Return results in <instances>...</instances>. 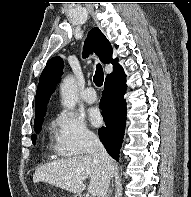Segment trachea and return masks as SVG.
<instances>
[{
	"instance_id": "obj_1",
	"label": "trachea",
	"mask_w": 191,
	"mask_h": 197,
	"mask_svg": "<svg viewBox=\"0 0 191 197\" xmlns=\"http://www.w3.org/2000/svg\"><path fill=\"white\" fill-rule=\"evenodd\" d=\"M93 80L97 86H102L103 81H104V72H103V68L100 64H97Z\"/></svg>"
}]
</instances>
